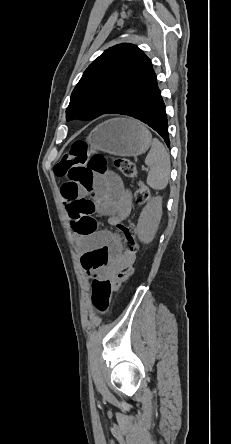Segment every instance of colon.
<instances>
[{
	"label": "colon",
	"instance_id": "5ec220e1",
	"mask_svg": "<svg viewBox=\"0 0 231 444\" xmlns=\"http://www.w3.org/2000/svg\"><path fill=\"white\" fill-rule=\"evenodd\" d=\"M115 167L127 178H138V169L134 162L127 157H115ZM106 170V160L99 153L90 154L84 141L75 142L63 158L55 165L57 177L67 178L75 188H90L95 175L103 174ZM150 197V190L142 181L138 182L135 192L137 204L145 203ZM94 204L90 200L75 201L70 206V215L74 220L73 229L80 236H89L96 232L97 222L93 217ZM123 236V249L127 256L135 257L138 251L136 228L132 223L119 224ZM134 272V259L129 261L121 270L110 277L95 279L92 283V300L95 308L101 313H107L114 294L122 282Z\"/></svg>",
	"mask_w": 231,
	"mask_h": 444
}]
</instances>
